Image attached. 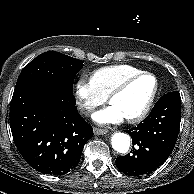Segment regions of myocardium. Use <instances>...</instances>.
<instances>
[{
    "label": "myocardium",
    "instance_id": "myocardium-1",
    "mask_svg": "<svg viewBox=\"0 0 194 194\" xmlns=\"http://www.w3.org/2000/svg\"><path fill=\"white\" fill-rule=\"evenodd\" d=\"M144 76H150L154 79L155 81V87H154V90L150 96V98L148 99L146 105L144 106V108L135 116L133 117H129V118H125L124 120L127 122V123H137V122H140L141 120H143L147 115L148 113L150 112L153 104H154V101L158 95V92H159V80L157 78V76L151 72H148V71H141V72H138L134 75H131L127 78H125L124 80H122L112 91L111 93L107 96V102L109 104H111L112 100L117 97L118 95H120L123 91L126 90V88L132 83L134 82L135 80L141 78V77H144Z\"/></svg>",
    "mask_w": 194,
    "mask_h": 194
}]
</instances>
